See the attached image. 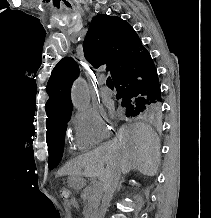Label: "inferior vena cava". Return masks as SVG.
<instances>
[{"mask_svg":"<svg viewBox=\"0 0 211 218\" xmlns=\"http://www.w3.org/2000/svg\"><path fill=\"white\" fill-rule=\"evenodd\" d=\"M120 170H115V172H110L107 174L104 182H103V198H102V206L104 212H107L106 208H109V204L114 196V192H116L118 188V182L120 178Z\"/></svg>","mask_w":211,"mask_h":218,"instance_id":"1","label":"inferior vena cava"}]
</instances>
